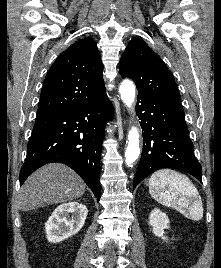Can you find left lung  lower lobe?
Listing matches in <instances>:
<instances>
[{"mask_svg": "<svg viewBox=\"0 0 221 268\" xmlns=\"http://www.w3.org/2000/svg\"><path fill=\"white\" fill-rule=\"evenodd\" d=\"M136 108L143 149L133 188L161 168L188 172L202 182V168L192 151L181 102L138 94Z\"/></svg>", "mask_w": 221, "mask_h": 268, "instance_id": "0a47b994", "label": "left lung lower lobe"}]
</instances>
